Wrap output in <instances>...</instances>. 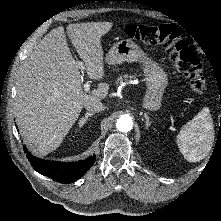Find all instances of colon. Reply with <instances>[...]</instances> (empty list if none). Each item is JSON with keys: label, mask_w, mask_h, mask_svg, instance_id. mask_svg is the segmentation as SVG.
<instances>
[{"label": "colon", "mask_w": 221, "mask_h": 221, "mask_svg": "<svg viewBox=\"0 0 221 221\" xmlns=\"http://www.w3.org/2000/svg\"><path fill=\"white\" fill-rule=\"evenodd\" d=\"M127 37L146 45H162L183 74L191 90L198 95L206 92V80L197 54L182 39L178 28L168 25H128Z\"/></svg>", "instance_id": "obj_1"}]
</instances>
